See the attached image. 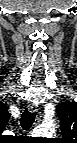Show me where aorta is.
Masks as SVG:
<instances>
[{
  "mask_svg": "<svg viewBox=\"0 0 77 143\" xmlns=\"http://www.w3.org/2000/svg\"><path fill=\"white\" fill-rule=\"evenodd\" d=\"M34 133L40 136H53L55 133V127L52 123H44L37 127Z\"/></svg>",
  "mask_w": 77,
  "mask_h": 143,
  "instance_id": "1",
  "label": "aorta"
}]
</instances>
